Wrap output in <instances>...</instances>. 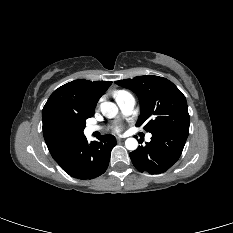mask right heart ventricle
Segmentation results:
<instances>
[{
  "mask_svg": "<svg viewBox=\"0 0 233 233\" xmlns=\"http://www.w3.org/2000/svg\"><path fill=\"white\" fill-rule=\"evenodd\" d=\"M129 95H131V94L125 90H118V91L114 92V97L116 100H119L120 98L125 97V96H129Z\"/></svg>",
  "mask_w": 233,
  "mask_h": 233,
  "instance_id": "obj_1",
  "label": "right heart ventricle"
}]
</instances>
